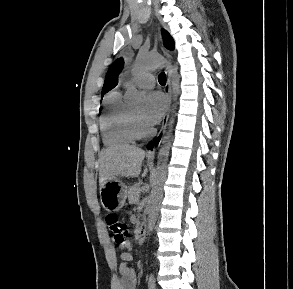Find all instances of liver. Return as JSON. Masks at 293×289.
<instances>
[{
  "instance_id": "6515ba94",
  "label": "liver",
  "mask_w": 293,
  "mask_h": 289,
  "mask_svg": "<svg viewBox=\"0 0 293 289\" xmlns=\"http://www.w3.org/2000/svg\"><path fill=\"white\" fill-rule=\"evenodd\" d=\"M145 157L144 150L131 145L110 146L103 150L100 156L99 183L100 186L116 176L137 177ZM145 168L142 176L147 174Z\"/></svg>"
}]
</instances>
